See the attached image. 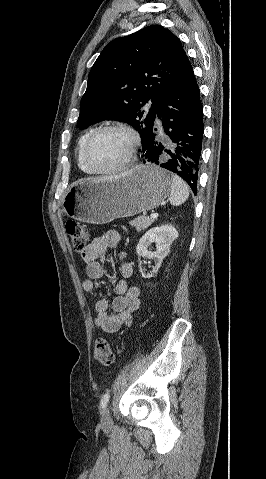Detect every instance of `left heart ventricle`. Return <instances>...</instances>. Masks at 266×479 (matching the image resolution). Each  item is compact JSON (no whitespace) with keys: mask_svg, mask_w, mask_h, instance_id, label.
Masks as SVG:
<instances>
[{"mask_svg":"<svg viewBox=\"0 0 266 479\" xmlns=\"http://www.w3.org/2000/svg\"><path fill=\"white\" fill-rule=\"evenodd\" d=\"M130 143L129 136L123 132H104L94 140L89 151V160L97 169L112 168L125 159Z\"/></svg>","mask_w":266,"mask_h":479,"instance_id":"left-heart-ventricle-1","label":"left heart ventricle"}]
</instances>
